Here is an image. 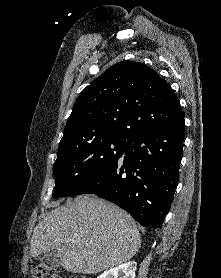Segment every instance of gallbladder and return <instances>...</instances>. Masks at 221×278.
<instances>
[{
  "label": "gallbladder",
  "mask_w": 221,
  "mask_h": 278,
  "mask_svg": "<svg viewBox=\"0 0 221 278\" xmlns=\"http://www.w3.org/2000/svg\"><path fill=\"white\" fill-rule=\"evenodd\" d=\"M43 260L51 267L58 268L61 265L60 258L56 250H51L43 254Z\"/></svg>",
  "instance_id": "gallbladder-1"
}]
</instances>
